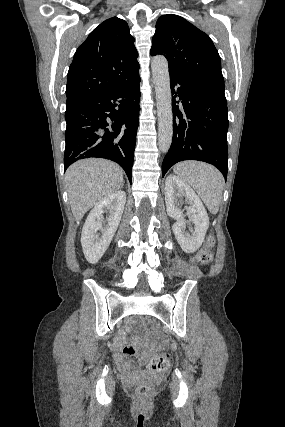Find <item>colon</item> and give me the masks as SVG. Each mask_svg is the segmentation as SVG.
<instances>
[{
	"label": "colon",
	"mask_w": 285,
	"mask_h": 427,
	"mask_svg": "<svg viewBox=\"0 0 285 427\" xmlns=\"http://www.w3.org/2000/svg\"><path fill=\"white\" fill-rule=\"evenodd\" d=\"M215 245V239L213 235H209L203 246L200 248L198 254H197V261L202 265H209L213 261V254L212 249ZM123 353L125 355H134L135 350L133 347L126 346L123 348ZM170 365V359L167 354H160L153 358H151L147 364L146 369L148 373L155 374L160 373L169 368ZM156 383L152 378H148V380L145 383L137 384L135 386V392L136 394L142 399L147 400L149 397H151L155 390H156Z\"/></svg>",
	"instance_id": "5ec220e1"
}]
</instances>
